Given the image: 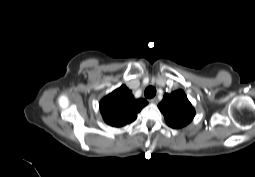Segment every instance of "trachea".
I'll return each mask as SVG.
<instances>
[{"label": "trachea", "instance_id": "trachea-1", "mask_svg": "<svg viewBox=\"0 0 255 177\" xmlns=\"http://www.w3.org/2000/svg\"><path fill=\"white\" fill-rule=\"evenodd\" d=\"M144 95L146 98L150 99L156 95V88L153 86H149L145 89Z\"/></svg>", "mask_w": 255, "mask_h": 177}]
</instances>
